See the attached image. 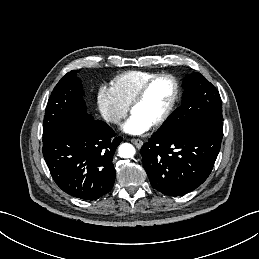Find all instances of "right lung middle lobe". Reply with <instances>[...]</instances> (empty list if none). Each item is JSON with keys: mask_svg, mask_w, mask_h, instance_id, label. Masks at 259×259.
Masks as SVG:
<instances>
[{"mask_svg": "<svg viewBox=\"0 0 259 259\" xmlns=\"http://www.w3.org/2000/svg\"><path fill=\"white\" fill-rule=\"evenodd\" d=\"M77 72H68L53 89L45 109L43 136L49 134L59 122L86 124L94 120L86 111Z\"/></svg>", "mask_w": 259, "mask_h": 259, "instance_id": "obj_1", "label": "right lung middle lobe"}]
</instances>
